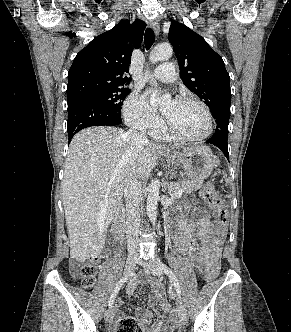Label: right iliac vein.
Masks as SVG:
<instances>
[{"label": "right iliac vein", "instance_id": "obj_1", "mask_svg": "<svg viewBox=\"0 0 291 332\" xmlns=\"http://www.w3.org/2000/svg\"><path fill=\"white\" fill-rule=\"evenodd\" d=\"M137 262H138V259L136 257H129L127 259L126 264H125V271H124L125 276L130 274L133 271ZM113 316H114L113 308L108 309L104 314L106 321H111Z\"/></svg>", "mask_w": 291, "mask_h": 332}]
</instances>
